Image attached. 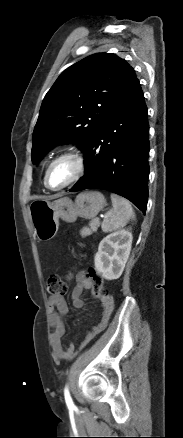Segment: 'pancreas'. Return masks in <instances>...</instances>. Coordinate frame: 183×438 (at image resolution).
<instances>
[{"mask_svg":"<svg viewBox=\"0 0 183 438\" xmlns=\"http://www.w3.org/2000/svg\"><path fill=\"white\" fill-rule=\"evenodd\" d=\"M100 225V221L98 220V218H94L90 221L89 223V227H84L81 231L80 234L82 237H86L91 235L93 232H96L98 227Z\"/></svg>","mask_w":183,"mask_h":438,"instance_id":"obj_1","label":"pancreas"}]
</instances>
